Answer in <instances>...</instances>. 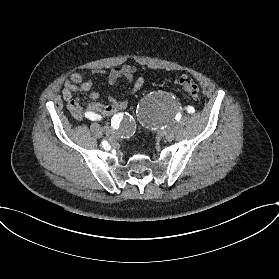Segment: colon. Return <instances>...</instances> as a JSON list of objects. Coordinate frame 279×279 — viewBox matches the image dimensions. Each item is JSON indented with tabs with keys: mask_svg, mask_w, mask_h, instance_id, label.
<instances>
[{
	"mask_svg": "<svg viewBox=\"0 0 279 279\" xmlns=\"http://www.w3.org/2000/svg\"><path fill=\"white\" fill-rule=\"evenodd\" d=\"M174 83L177 86H179L190 97L194 99H197L199 97V86L194 80L186 76H178L174 79Z\"/></svg>",
	"mask_w": 279,
	"mask_h": 279,
	"instance_id": "colon-1",
	"label": "colon"
}]
</instances>
